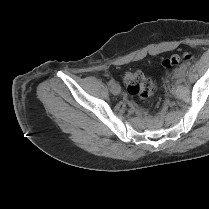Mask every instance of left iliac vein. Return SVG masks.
I'll use <instances>...</instances> for the list:
<instances>
[{
    "instance_id": "obj_1",
    "label": "left iliac vein",
    "mask_w": 209,
    "mask_h": 209,
    "mask_svg": "<svg viewBox=\"0 0 209 209\" xmlns=\"http://www.w3.org/2000/svg\"><path fill=\"white\" fill-rule=\"evenodd\" d=\"M175 72L176 73L174 74V79L175 80H180L181 79V75H183V70L182 69H177Z\"/></svg>"
}]
</instances>
